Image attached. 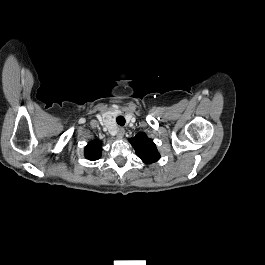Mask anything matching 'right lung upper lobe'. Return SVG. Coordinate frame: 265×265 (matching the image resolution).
<instances>
[{"mask_svg":"<svg viewBox=\"0 0 265 265\" xmlns=\"http://www.w3.org/2000/svg\"><path fill=\"white\" fill-rule=\"evenodd\" d=\"M101 149V144L98 140L91 141L85 147L84 155L89 160H97L101 156Z\"/></svg>","mask_w":265,"mask_h":265,"instance_id":"right-lung-upper-lobe-1","label":"right lung upper lobe"}]
</instances>
